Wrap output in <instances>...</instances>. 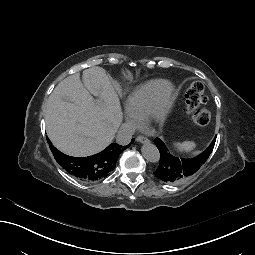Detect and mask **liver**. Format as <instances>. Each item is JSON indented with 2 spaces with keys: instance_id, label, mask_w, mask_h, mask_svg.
I'll return each mask as SVG.
<instances>
[{
  "instance_id": "obj_1",
  "label": "liver",
  "mask_w": 255,
  "mask_h": 255,
  "mask_svg": "<svg viewBox=\"0 0 255 255\" xmlns=\"http://www.w3.org/2000/svg\"><path fill=\"white\" fill-rule=\"evenodd\" d=\"M99 96L95 101L91 96ZM63 98L71 102L64 101ZM122 121L118 95L102 67L76 73L61 81L48 99L46 131L62 153L85 157L104 150Z\"/></svg>"
}]
</instances>
